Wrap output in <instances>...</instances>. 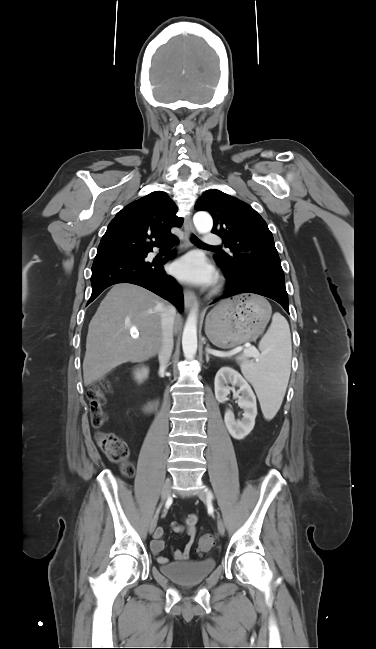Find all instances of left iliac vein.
Wrapping results in <instances>:
<instances>
[{
    "instance_id": "1",
    "label": "left iliac vein",
    "mask_w": 376,
    "mask_h": 649,
    "mask_svg": "<svg viewBox=\"0 0 376 649\" xmlns=\"http://www.w3.org/2000/svg\"><path fill=\"white\" fill-rule=\"evenodd\" d=\"M198 497L202 501L211 502V496L205 491H202V490L199 491L198 492ZM217 527H218V532L220 533V535H224V533H225V525H224L223 520L219 516H218V521H217Z\"/></svg>"
}]
</instances>
